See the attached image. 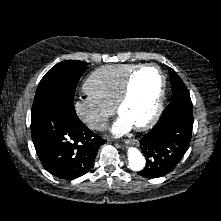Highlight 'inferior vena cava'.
<instances>
[{"label":"inferior vena cava","mask_w":221,"mask_h":221,"mask_svg":"<svg viewBox=\"0 0 221 221\" xmlns=\"http://www.w3.org/2000/svg\"><path fill=\"white\" fill-rule=\"evenodd\" d=\"M88 126L91 129L102 131L106 128V121H105V119H101V118L90 119V120H88Z\"/></svg>","instance_id":"602c4592"}]
</instances>
